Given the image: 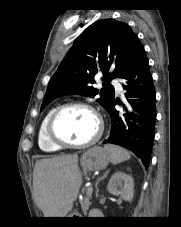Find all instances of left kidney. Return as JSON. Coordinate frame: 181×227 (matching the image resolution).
Returning a JSON list of instances; mask_svg holds the SVG:
<instances>
[{"label": "left kidney", "mask_w": 181, "mask_h": 227, "mask_svg": "<svg viewBox=\"0 0 181 227\" xmlns=\"http://www.w3.org/2000/svg\"><path fill=\"white\" fill-rule=\"evenodd\" d=\"M107 190L113 195H119L126 201H132L134 196V181L125 172H115L107 185Z\"/></svg>", "instance_id": "1"}]
</instances>
